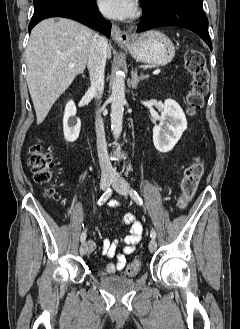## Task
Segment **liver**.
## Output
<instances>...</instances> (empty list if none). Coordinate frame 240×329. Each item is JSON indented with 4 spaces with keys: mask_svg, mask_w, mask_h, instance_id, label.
Masks as SVG:
<instances>
[{
    "mask_svg": "<svg viewBox=\"0 0 240 329\" xmlns=\"http://www.w3.org/2000/svg\"><path fill=\"white\" fill-rule=\"evenodd\" d=\"M94 35L88 27L64 18L44 20L31 31L26 48V80L37 124L44 121L56 100L85 70ZM107 57L111 58L109 47Z\"/></svg>",
    "mask_w": 240,
    "mask_h": 329,
    "instance_id": "obj_1",
    "label": "liver"
}]
</instances>
